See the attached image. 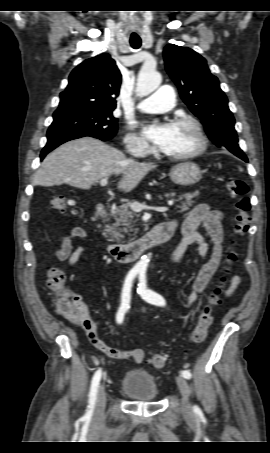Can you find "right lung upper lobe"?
<instances>
[{
  "label": "right lung upper lobe",
  "instance_id": "cb5924a9",
  "mask_svg": "<svg viewBox=\"0 0 270 453\" xmlns=\"http://www.w3.org/2000/svg\"><path fill=\"white\" fill-rule=\"evenodd\" d=\"M120 84V71L109 54L87 59L71 72L53 117L85 111H113Z\"/></svg>",
  "mask_w": 270,
  "mask_h": 453
}]
</instances>
